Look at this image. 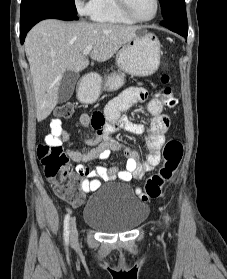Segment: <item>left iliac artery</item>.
Instances as JSON below:
<instances>
[{
  "mask_svg": "<svg viewBox=\"0 0 227 279\" xmlns=\"http://www.w3.org/2000/svg\"><path fill=\"white\" fill-rule=\"evenodd\" d=\"M168 220H169V219H168V217L166 216V222H167V223H168Z\"/></svg>",
  "mask_w": 227,
  "mask_h": 279,
  "instance_id": "left-iliac-artery-1",
  "label": "left iliac artery"
}]
</instances>
